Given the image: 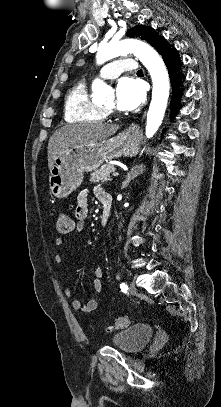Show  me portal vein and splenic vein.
<instances>
[{"instance_id": "portal-vein-and-splenic-vein-1", "label": "portal vein and splenic vein", "mask_w": 221, "mask_h": 407, "mask_svg": "<svg viewBox=\"0 0 221 407\" xmlns=\"http://www.w3.org/2000/svg\"><path fill=\"white\" fill-rule=\"evenodd\" d=\"M119 175V173L118 172H113V174H112V176H118Z\"/></svg>"}]
</instances>
